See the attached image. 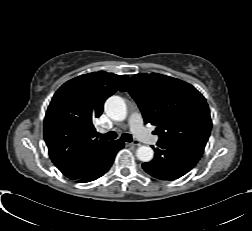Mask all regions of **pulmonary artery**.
<instances>
[{
	"instance_id": "obj_1",
	"label": "pulmonary artery",
	"mask_w": 252,
	"mask_h": 231,
	"mask_svg": "<svg viewBox=\"0 0 252 231\" xmlns=\"http://www.w3.org/2000/svg\"><path fill=\"white\" fill-rule=\"evenodd\" d=\"M128 125L132 133L146 144H155L159 142V136L153 135L143 125L142 117L138 112H133L128 116Z\"/></svg>"
}]
</instances>
